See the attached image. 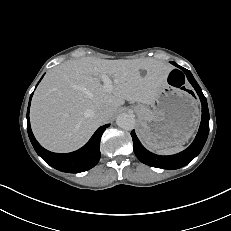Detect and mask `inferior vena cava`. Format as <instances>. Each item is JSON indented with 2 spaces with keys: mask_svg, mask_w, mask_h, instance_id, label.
<instances>
[{
  "mask_svg": "<svg viewBox=\"0 0 231 231\" xmlns=\"http://www.w3.org/2000/svg\"><path fill=\"white\" fill-rule=\"evenodd\" d=\"M98 117L102 120V121H106L109 118V113L106 110H102L98 113Z\"/></svg>",
  "mask_w": 231,
  "mask_h": 231,
  "instance_id": "602c4592",
  "label": "inferior vena cava"
}]
</instances>
